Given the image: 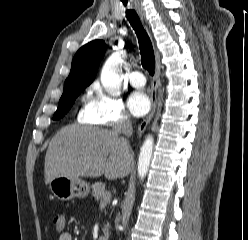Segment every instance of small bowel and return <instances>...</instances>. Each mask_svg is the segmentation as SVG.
<instances>
[{
  "label": "small bowel",
  "mask_w": 248,
  "mask_h": 240,
  "mask_svg": "<svg viewBox=\"0 0 248 240\" xmlns=\"http://www.w3.org/2000/svg\"><path fill=\"white\" fill-rule=\"evenodd\" d=\"M58 240H73V237L70 232L65 231L59 235Z\"/></svg>",
  "instance_id": "c3829d8e"
}]
</instances>
